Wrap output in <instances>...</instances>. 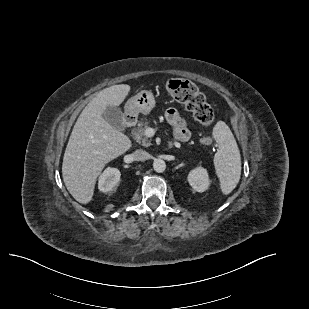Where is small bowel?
Masks as SVG:
<instances>
[{"label":"small bowel","mask_w":309,"mask_h":309,"mask_svg":"<svg viewBox=\"0 0 309 309\" xmlns=\"http://www.w3.org/2000/svg\"><path fill=\"white\" fill-rule=\"evenodd\" d=\"M166 120L174 127L173 138L178 142H185L190 138L189 129L175 108H169L166 111Z\"/></svg>","instance_id":"small-bowel-1"}]
</instances>
